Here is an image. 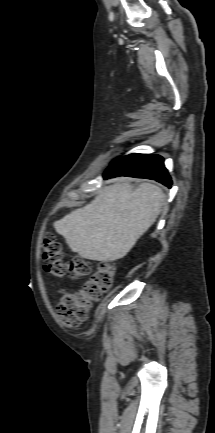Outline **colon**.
Segmentation results:
<instances>
[{
    "label": "colon",
    "mask_w": 215,
    "mask_h": 433,
    "mask_svg": "<svg viewBox=\"0 0 215 433\" xmlns=\"http://www.w3.org/2000/svg\"><path fill=\"white\" fill-rule=\"evenodd\" d=\"M42 251L46 269L53 276L79 279L90 275L80 288L62 292L57 305V316L62 324L69 327L82 324L88 319L93 303L113 286L114 265L101 261L92 272V264L81 257L64 261L62 245L50 232L44 235Z\"/></svg>",
    "instance_id": "5ec220e1"
}]
</instances>
